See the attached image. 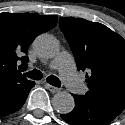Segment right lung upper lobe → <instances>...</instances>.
<instances>
[{"mask_svg": "<svg viewBox=\"0 0 125 125\" xmlns=\"http://www.w3.org/2000/svg\"><path fill=\"white\" fill-rule=\"evenodd\" d=\"M54 15L34 13H0V88L12 82H27L21 68L27 67L26 54L34 38L57 24ZM18 60L22 65L17 69Z\"/></svg>", "mask_w": 125, "mask_h": 125, "instance_id": "1", "label": "right lung upper lobe"}]
</instances>
